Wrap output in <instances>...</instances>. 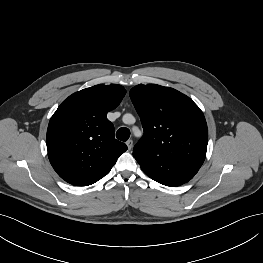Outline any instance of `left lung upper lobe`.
<instances>
[{
  "label": "left lung upper lobe",
  "instance_id": "1",
  "mask_svg": "<svg viewBox=\"0 0 263 263\" xmlns=\"http://www.w3.org/2000/svg\"><path fill=\"white\" fill-rule=\"evenodd\" d=\"M130 98L144 135L133 156L146 173L172 164L197 173L206 156L208 129L199 107L186 95L156 84L137 85Z\"/></svg>",
  "mask_w": 263,
  "mask_h": 263
}]
</instances>
